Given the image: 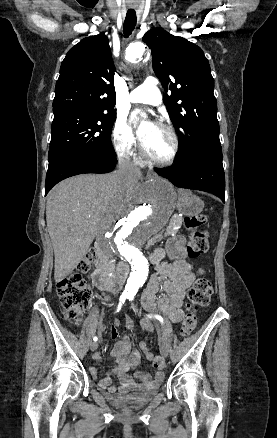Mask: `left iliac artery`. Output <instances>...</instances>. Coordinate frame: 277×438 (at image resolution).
I'll use <instances>...</instances> for the list:
<instances>
[{"label": "left iliac artery", "instance_id": "left-iliac-artery-1", "mask_svg": "<svg viewBox=\"0 0 277 438\" xmlns=\"http://www.w3.org/2000/svg\"><path fill=\"white\" fill-rule=\"evenodd\" d=\"M133 298H134L133 295H131V296L128 297V299L131 300V301L133 300ZM148 317H150V318H151V317H155V318H156L157 320H159L161 323L164 322L163 318H162L160 315H148Z\"/></svg>", "mask_w": 277, "mask_h": 438}]
</instances>
